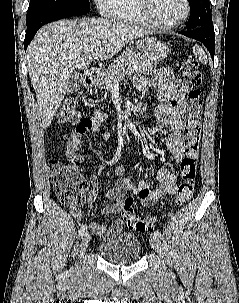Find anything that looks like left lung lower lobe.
<instances>
[{
	"label": "left lung lower lobe",
	"instance_id": "obj_1",
	"mask_svg": "<svg viewBox=\"0 0 239 303\" xmlns=\"http://www.w3.org/2000/svg\"><path fill=\"white\" fill-rule=\"evenodd\" d=\"M179 33L202 42L214 61L215 33L213 28H194Z\"/></svg>",
	"mask_w": 239,
	"mask_h": 303
}]
</instances>
